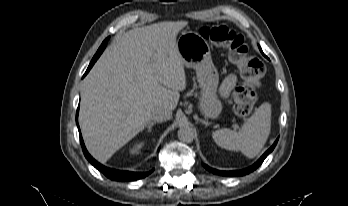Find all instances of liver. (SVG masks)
<instances>
[{
  "label": "liver",
  "instance_id": "1",
  "mask_svg": "<svg viewBox=\"0 0 348 206\" xmlns=\"http://www.w3.org/2000/svg\"><path fill=\"white\" fill-rule=\"evenodd\" d=\"M187 21L159 22L116 38L82 85L79 123L86 147L105 163L151 119L174 110L187 82L176 46Z\"/></svg>",
  "mask_w": 348,
  "mask_h": 206
}]
</instances>
